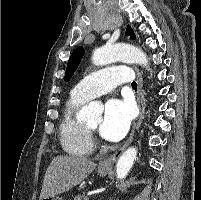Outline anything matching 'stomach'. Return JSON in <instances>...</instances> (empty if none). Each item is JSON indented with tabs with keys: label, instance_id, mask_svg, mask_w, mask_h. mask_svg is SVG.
Here are the masks:
<instances>
[{
	"label": "stomach",
	"instance_id": "0dacf381",
	"mask_svg": "<svg viewBox=\"0 0 201 200\" xmlns=\"http://www.w3.org/2000/svg\"><path fill=\"white\" fill-rule=\"evenodd\" d=\"M108 173H109V170L98 169V174L102 177L106 176ZM43 200H63V199L55 195V196L46 197Z\"/></svg>",
	"mask_w": 201,
	"mask_h": 200
}]
</instances>
